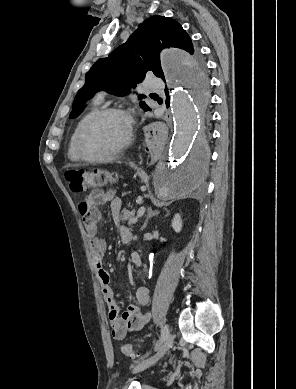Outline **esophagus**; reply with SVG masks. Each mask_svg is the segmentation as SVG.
I'll use <instances>...</instances> for the list:
<instances>
[{
  "mask_svg": "<svg viewBox=\"0 0 296 389\" xmlns=\"http://www.w3.org/2000/svg\"><path fill=\"white\" fill-rule=\"evenodd\" d=\"M146 128L148 131H163L165 128V121L163 118H148L146 121Z\"/></svg>",
  "mask_w": 296,
  "mask_h": 389,
  "instance_id": "34e87169",
  "label": "esophagus"
}]
</instances>
